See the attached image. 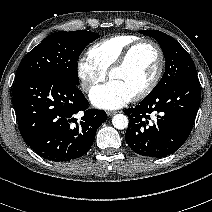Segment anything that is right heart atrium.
I'll use <instances>...</instances> for the list:
<instances>
[{
	"instance_id": "right-heart-atrium-1",
	"label": "right heart atrium",
	"mask_w": 212,
	"mask_h": 212,
	"mask_svg": "<svg viewBox=\"0 0 212 212\" xmlns=\"http://www.w3.org/2000/svg\"><path fill=\"white\" fill-rule=\"evenodd\" d=\"M76 73L84 92H90L97 84L103 82L107 76L88 57L78 59Z\"/></svg>"
}]
</instances>
